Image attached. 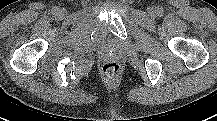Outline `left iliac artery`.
<instances>
[{
	"mask_svg": "<svg viewBox=\"0 0 217 121\" xmlns=\"http://www.w3.org/2000/svg\"><path fill=\"white\" fill-rule=\"evenodd\" d=\"M158 14H162V9H158Z\"/></svg>",
	"mask_w": 217,
	"mask_h": 121,
	"instance_id": "obj_1",
	"label": "left iliac artery"
}]
</instances>
